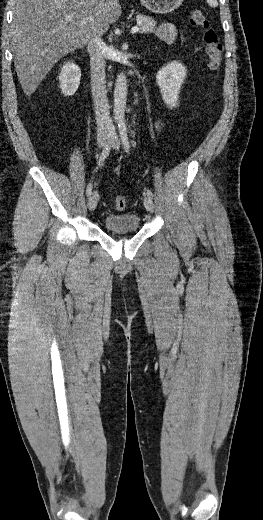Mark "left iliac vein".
<instances>
[{"label":"left iliac vein","mask_w":263,"mask_h":520,"mask_svg":"<svg viewBox=\"0 0 263 520\" xmlns=\"http://www.w3.org/2000/svg\"><path fill=\"white\" fill-rule=\"evenodd\" d=\"M110 137L112 147L118 150L120 148V139L114 129L110 131ZM144 206L148 212L152 213L154 211V203L152 198H150L149 196L145 197Z\"/></svg>","instance_id":"left-iliac-vein-1"}]
</instances>
